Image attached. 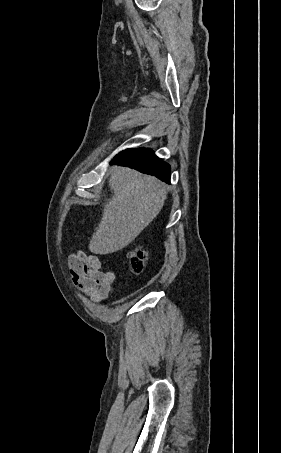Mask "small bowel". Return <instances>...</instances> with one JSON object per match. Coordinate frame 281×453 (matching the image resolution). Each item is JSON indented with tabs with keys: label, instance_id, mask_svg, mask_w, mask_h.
<instances>
[{
	"label": "small bowel",
	"instance_id": "1",
	"mask_svg": "<svg viewBox=\"0 0 281 453\" xmlns=\"http://www.w3.org/2000/svg\"><path fill=\"white\" fill-rule=\"evenodd\" d=\"M72 280L83 292L95 301L109 300L116 288V277L112 271L102 270L98 256L75 253L68 261Z\"/></svg>",
	"mask_w": 281,
	"mask_h": 453
}]
</instances>
